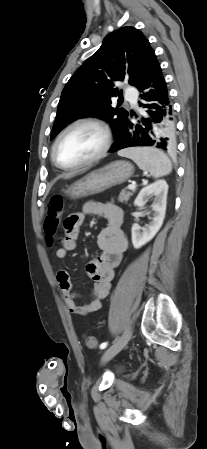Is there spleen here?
Instances as JSON below:
<instances>
[{"mask_svg": "<svg viewBox=\"0 0 207 449\" xmlns=\"http://www.w3.org/2000/svg\"><path fill=\"white\" fill-rule=\"evenodd\" d=\"M119 156L133 160L140 169L148 171L154 178L168 175L172 171L170 159L153 147H132L118 152Z\"/></svg>", "mask_w": 207, "mask_h": 449, "instance_id": "spleen-1", "label": "spleen"}]
</instances>
